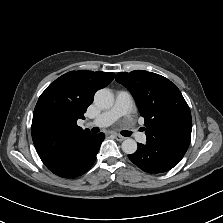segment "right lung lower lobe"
I'll list each match as a JSON object with an SVG mask.
<instances>
[{
  "label": "right lung lower lobe",
  "mask_w": 223,
  "mask_h": 223,
  "mask_svg": "<svg viewBox=\"0 0 223 223\" xmlns=\"http://www.w3.org/2000/svg\"><path fill=\"white\" fill-rule=\"evenodd\" d=\"M104 138L103 133L85 136L64 162L49 170L63 178H75L84 174L94 164Z\"/></svg>",
  "instance_id": "right-lung-lower-lobe-1"
}]
</instances>
